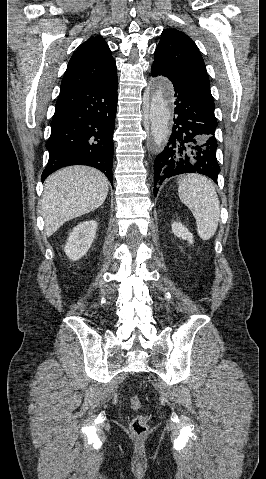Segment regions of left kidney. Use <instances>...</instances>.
Listing matches in <instances>:
<instances>
[{"instance_id": "left-kidney-1", "label": "left kidney", "mask_w": 266, "mask_h": 479, "mask_svg": "<svg viewBox=\"0 0 266 479\" xmlns=\"http://www.w3.org/2000/svg\"><path fill=\"white\" fill-rule=\"evenodd\" d=\"M172 232L175 236L187 240L190 244L194 241L192 233L180 222L172 223Z\"/></svg>"}]
</instances>
